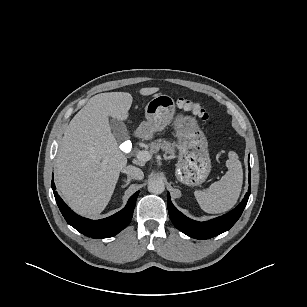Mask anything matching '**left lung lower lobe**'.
<instances>
[{
    "instance_id": "left-lung-lower-lobe-1",
    "label": "left lung lower lobe",
    "mask_w": 307,
    "mask_h": 307,
    "mask_svg": "<svg viewBox=\"0 0 307 307\" xmlns=\"http://www.w3.org/2000/svg\"><path fill=\"white\" fill-rule=\"evenodd\" d=\"M251 184V172L249 165V185ZM251 186H249L248 192L246 193L242 202L229 213L206 221L199 222L194 221L185 215H183L180 211H178L170 200L169 194L167 195V203H168V211L169 216L171 218L172 223L184 234L196 238V239H208L214 236H217L225 231H228L240 218L246 204L248 198L250 196Z\"/></svg>"
}]
</instances>
